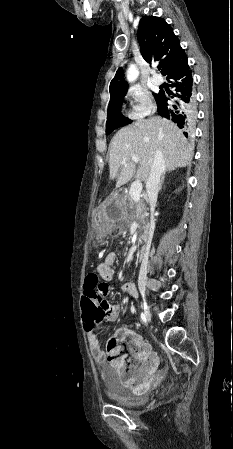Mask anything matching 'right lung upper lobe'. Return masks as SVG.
Returning <instances> with one entry per match:
<instances>
[{"mask_svg":"<svg viewBox=\"0 0 233 449\" xmlns=\"http://www.w3.org/2000/svg\"><path fill=\"white\" fill-rule=\"evenodd\" d=\"M137 38L143 58L146 61L159 60L163 66L164 75L178 69L187 61L178 37L163 18L144 16L139 23ZM127 89L128 84L124 80L123 69L119 68L110 83V98L126 93Z\"/></svg>","mask_w":233,"mask_h":449,"instance_id":"right-lung-upper-lobe-1","label":"right lung upper lobe"}]
</instances>
